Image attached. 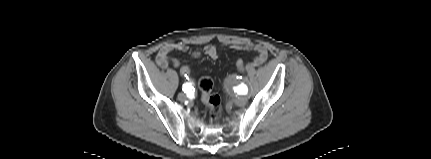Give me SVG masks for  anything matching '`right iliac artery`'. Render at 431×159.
<instances>
[{"mask_svg":"<svg viewBox=\"0 0 431 159\" xmlns=\"http://www.w3.org/2000/svg\"><path fill=\"white\" fill-rule=\"evenodd\" d=\"M192 86H191V84L190 83H185V84H183V86H182V90L185 92V93H189V92H191L192 91Z\"/></svg>","mask_w":431,"mask_h":159,"instance_id":"82829eb1","label":"right iliac artery"}]
</instances>
